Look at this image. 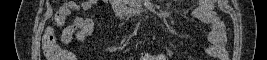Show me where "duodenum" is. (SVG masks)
<instances>
[{
  "label": "duodenum",
  "mask_w": 267,
  "mask_h": 60,
  "mask_svg": "<svg viewBox=\"0 0 267 60\" xmlns=\"http://www.w3.org/2000/svg\"><path fill=\"white\" fill-rule=\"evenodd\" d=\"M112 4L114 6L116 16L118 17H123L125 15L140 17L141 15H143L142 10H129L127 7L123 5L122 1H114Z\"/></svg>",
  "instance_id": "duodenum-1"
}]
</instances>
